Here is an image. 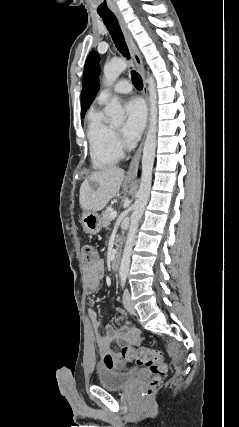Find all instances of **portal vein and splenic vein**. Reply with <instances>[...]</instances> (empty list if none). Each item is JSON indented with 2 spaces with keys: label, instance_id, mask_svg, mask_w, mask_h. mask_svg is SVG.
<instances>
[{
  "label": "portal vein and splenic vein",
  "instance_id": "portal-vein-and-splenic-vein-1",
  "mask_svg": "<svg viewBox=\"0 0 239 427\" xmlns=\"http://www.w3.org/2000/svg\"><path fill=\"white\" fill-rule=\"evenodd\" d=\"M117 216V212L116 211H112L111 213H110V218L111 219H115V217Z\"/></svg>",
  "mask_w": 239,
  "mask_h": 427
}]
</instances>
